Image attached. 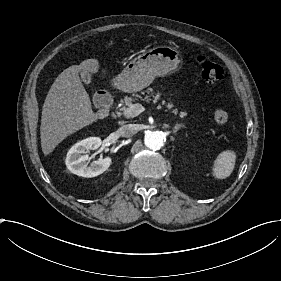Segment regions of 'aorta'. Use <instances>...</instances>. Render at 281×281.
<instances>
[{"label":"aorta","instance_id":"1","mask_svg":"<svg viewBox=\"0 0 281 281\" xmlns=\"http://www.w3.org/2000/svg\"><path fill=\"white\" fill-rule=\"evenodd\" d=\"M165 141V135L160 131H151L145 134L144 143L152 150H159Z\"/></svg>","mask_w":281,"mask_h":281}]
</instances>
